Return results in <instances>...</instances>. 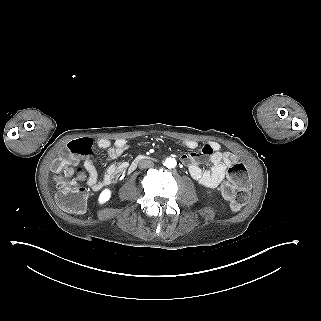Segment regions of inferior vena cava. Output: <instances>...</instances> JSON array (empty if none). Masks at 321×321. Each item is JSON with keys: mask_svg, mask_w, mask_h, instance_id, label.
<instances>
[{"mask_svg": "<svg viewBox=\"0 0 321 321\" xmlns=\"http://www.w3.org/2000/svg\"><path fill=\"white\" fill-rule=\"evenodd\" d=\"M154 166V163L153 161L151 160H141L139 163H138V167L140 169H147V168H151Z\"/></svg>", "mask_w": 321, "mask_h": 321, "instance_id": "602c4592", "label": "inferior vena cava"}]
</instances>
